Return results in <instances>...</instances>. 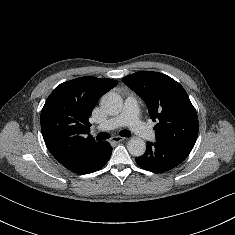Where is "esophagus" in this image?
Listing matches in <instances>:
<instances>
[{
	"instance_id": "1",
	"label": "esophagus",
	"mask_w": 235,
	"mask_h": 235,
	"mask_svg": "<svg viewBox=\"0 0 235 235\" xmlns=\"http://www.w3.org/2000/svg\"><path fill=\"white\" fill-rule=\"evenodd\" d=\"M125 138L124 137H121V136H113L111 139H110V142L111 143H119L121 141H124Z\"/></svg>"
}]
</instances>
